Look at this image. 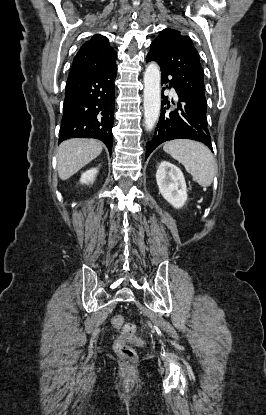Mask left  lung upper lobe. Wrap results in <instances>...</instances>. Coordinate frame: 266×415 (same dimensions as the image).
Masks as SVG:
<instances>
[{"mask_svg":"<svg viewBox=\"0 0 266 415\" xmlns=\"http://www.w3.org/2000/svg\"><path fill=\"white\" fill-rule=\"evenodd\" d=\"M161 71L172 77L183 92L206 112L204 72L193 42L174 29H164L151 43L148 53Z\"/></svg>","mask_w":266,"mask_h":415,"instance_id":"1","label":"left lung upper lobe"}]
</instances>
